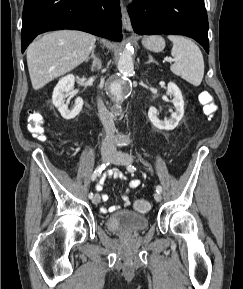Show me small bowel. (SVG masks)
<instances>
[{
  "label": "small bowel",
  "instance_id": "c3829d8e",
  "mask_svg": "<svg viewBox=\"0 0 243 289\" xmlns=\"http://www.w3.org/2000/svg\"><path fill=\"white\" fill-rule=\"evenodd\" d=\"M109 178L113 179H120V180H125L126 177L125 175L118 169H113L108 173ZM141 180L140 179H132L128 182L127 190L126 192L122 195V200H123V205L124 207H127L130 205V197L128 195L129 190L135 189L141 185ZM103 184L99 183L96 186L97 190H102ZM109 199V196L107 194L102 195V200L107 201ZM119 206H110V207H102L101 211L103 213H112L115 212L119 209Z\"/></svg>",
  "mask_w": 243,
  "mask_h": 289
}]
</instances>
